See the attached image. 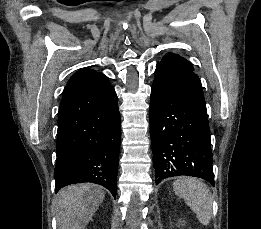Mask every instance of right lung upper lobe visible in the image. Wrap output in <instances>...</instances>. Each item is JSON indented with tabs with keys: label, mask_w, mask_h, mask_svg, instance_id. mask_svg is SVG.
I'll return each instance as SVG.
<instances>
[{
	"label": "right lung upper lobe",
	"mask_w": 261,
	"mask_h": 229,
	"mask_svg": "<svg viewBox=\"0 0 261 229\" xmlns=\"http://www.w3.org/2000/svg\"><path fill=\"white\" fill-rule=\"evenodd\" d=\"M104 76L101 73H96L94 70L84 68L76 72L68 81L64 91L62 102H64L69 95L82 89L87 84L93 82L94 80Z\"/></svg>",
	"instance_id": "right-lung-upper-lobe-1"
}]
</instances>
